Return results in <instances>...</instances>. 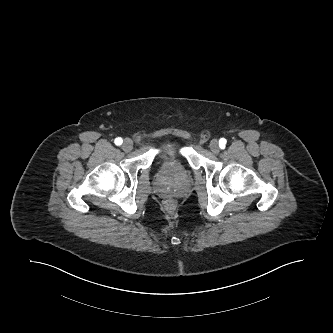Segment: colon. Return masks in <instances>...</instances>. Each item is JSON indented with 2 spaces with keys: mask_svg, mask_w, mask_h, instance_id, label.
<instances>
[{
  "mask_svg": "<svg viewBox=\"0 0 333 333\" xmlns=\"http://www.w3.org/2000/svg\"><path fill=\"white\" fill-rule=\"evenodd\" d=\"M171 205H172V203L170 202V203H169V206H171Z\"/></svg>",
  "mask_w": 333,
  "mask_h": 333,
  "instance_id": "obj_1",
  "label": "colon"
}]
</instances>
